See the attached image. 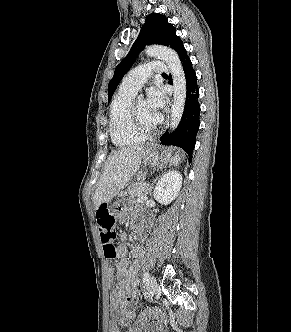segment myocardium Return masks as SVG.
Wrapping results in <instances>:
<instances>
[{
    "label": "myocardium",
    "mask_w": 291,
    "mask_h": 332,
    "mask_svg": "<svg viewBox=\"0 0 291 332\" xmlns=\"http://www.w3.org/2000/svg\"><path fill=\"white\" fill-rule=\"evenodd\" d=\"M130 119L133 130L144 138L153 136L159 131L158 125L154 128H146L142 125L138 114L137 100H133L131 104Z\"/></svg>",
    "instance_id": "obj_1"
}]
</instances>
